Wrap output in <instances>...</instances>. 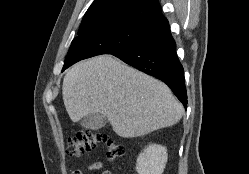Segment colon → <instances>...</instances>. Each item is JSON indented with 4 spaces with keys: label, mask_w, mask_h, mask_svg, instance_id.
<instances>
[{
    "label": "colon",
    "mask_w": 249,
    "mask_h": 174,
    "mask_svg": "<svg viewBox=\"0 0 249 174\" xmlns=\"http://www.w3.org/2000/svg\"><path fill=\"white\" fill-rule=\"evenodd\" d=\"M101 144L105 145L106 157L110 161L120 158L124 153V148L121 144L93 130H83L70 137L67 142L66 153L71 157H81Z\"/></svg>",
    "instance_id": "obj_1"
}]
</instances>
